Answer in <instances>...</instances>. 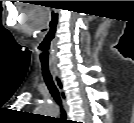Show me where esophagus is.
<instances>
[{
	"mask_svg": "<svg viewBox=\"0 0 134 123\" xmlns=\"http://www.w3.org/2000/svg\"><path fill=\"white\" fill-rule=\"evenodd\" d=\"M50 70H51L55 85L57 86L58 91L60 93V97H61L62 102L64 104V108H65L66 112H68L69 107H68V104H67V95H66V92H65V89H64V84H63L61 75H60V73H59V71L57 70L56 67L50 66Z\"/></svg>",
	"mask_w": 134,
	"mask_h": 123,
	"instance_id": "34e87169",
	"label": "esophagus"
}]
</instances>
